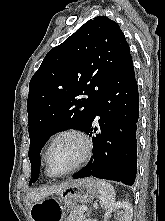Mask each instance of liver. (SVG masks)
Masks as SVG:
<instances>
[{
	"label": "liver",
	"instance_id": "6515ba94",
	"mask_svg": "<svg viewBox=\"0 0 165 221\" xmlns=\"http://www.w3.org/2000/svg\"><path fill=\"white\" fill-rule=\"evenodd\" d=\"M64 186V184H62L59 187H55V188H49L48 190H45L39 194L36 195V197L41 198V197H45L47 195L53 194V193H58L62 187ZM33 195L32 194H28L27 198H32Z\"/></svg>",
	"mask_w": 165,
	"mask_h": 221
}]
</instances>
